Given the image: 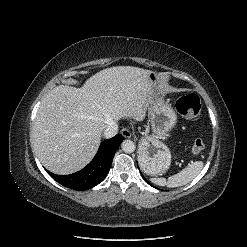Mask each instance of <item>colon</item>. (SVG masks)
I'll list each match as a JSON object with an SVG mask.
<instances>
[{
    "label": "colon",
    "mask_w": 247,
    "mask_h": 247,
    "mask_svg": "<svg viewBox=\"0 0 247 247\" xmlns=\"http://www.w3.org/2000/svg\"><path fill=\"white\" fill-rule=\"evenodd\" d=\"M176 110L182 116L189 120H195L200 110V99L195 94H189L179 98L175 104ZM205 143L202 139H196L192 145L194 153H200L204 150Z\"/></svg>",
    "instance_id": "obj_1"
}]
</instances>
